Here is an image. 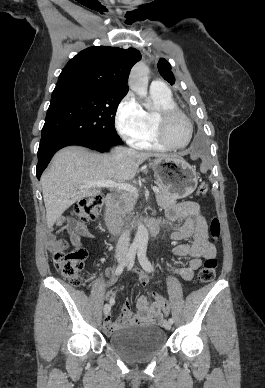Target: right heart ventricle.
<instances>
[{
	"label": "right heart ventricle",
	"instance_id": "right-heart-ventricle-1",
	"mask_svg": "<svg viewBox=\"0 0 265 388\" xmlns=\"http://www.w3.org/2000/svg\"><path fill=\"white\" fill-rule=\"evenodd\" d=\"M148 98L155 103L153 110L145 111V130L133 140L134 146L147 150H165L166 148L158 141L154 128V114L157 108L162 106H175L170 91H148Z\"/></svg>",
	"mask_w": 265,
	"mask_h": 388
}]
</instances>
